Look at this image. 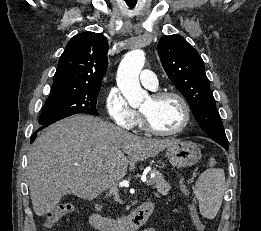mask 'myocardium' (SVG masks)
I'll list each match as a JSON object with an SVG mask.
<instances>
[{
  "instance_id": "myocardium-1",
  "label": "myocardium",
  "mask_w": 261,
  "mask_h": 231,
  "mask_svg": "<svg viewBox=\"0 0 261 231\" xmlns=\"http://www.w3.org/2000/svg\"><path fill=\"white\" fill-rule=\"evenodd\" d=\"M168 97H172V98H175L177 99L181 106H182V109H183V122L182 124L180 125V127H178L177 129L175 130H172V131H162V130H159L158 128H156L153 123L151 122L149 116L140 110V113H141V119H142V123H143V126L144 128L154 134V135H158V136H174V135H177V134H180L182 133L189 125L190 123V120H191V109H190V106L187 102V100L185 99L184 96H182L181 94L177 93V92H174V91H161V92H156L154 93L151 98L154 100V101H160L164 98H168Z\"/></svg>"
}]
</instances>
